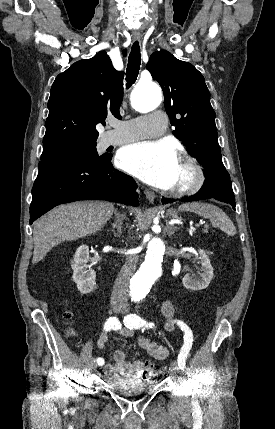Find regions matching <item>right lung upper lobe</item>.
I'll use <instances>...</instances> for the list:
<instances>
[{
	"label": "right lung upper lobe",
	"instance_id": "cb5924a9",
	"mask_svg": "<svg viewBox=\"0 0 275 429\" xmlns=\"http://www.w3.org/2000/svg\"><path fill=\"white\" fill-rule=\"evenodd\" d=\"M124 72L114 69L105 51L80 60L59 74L50 92L41 157L96 143V125L108 114L120 118Z\"/></svg>",
	"mask_w": 275,
	"mask_h": 429
}]
</instances>
